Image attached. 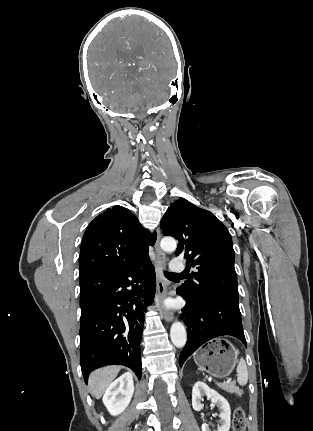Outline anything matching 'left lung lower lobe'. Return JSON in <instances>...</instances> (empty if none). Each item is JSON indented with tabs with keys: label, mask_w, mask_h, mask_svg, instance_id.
<instances>
[{
	"label": "left lung lower lobe",
	"mask_w": 313,
	"mask_h": 431,
	"mask_svg": "<svg viewBox=\"0 0 313 431\" xmlns=\"http://www.w3.org/2000/svg\"><path fill=\"white\" fill-rule=\"evenodd\" d=\"M177 294L187 302L182 312L188 317V337L179 357L180 366L200 346L217 336H234L246 346L238 301L221 297L189 299L180 289Z\"/></svg>",
	"instance_id": "0a47b994"
}]
</instances>
